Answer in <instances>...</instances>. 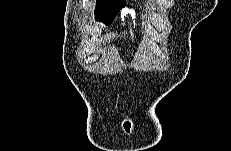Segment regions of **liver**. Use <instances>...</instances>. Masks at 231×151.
<instances>
[{"instance_id": "liver-1", "label": "liver", "mask_w": 231, "mask_h": 151, "mask_svg": "<svg viewBox=\"0 0 231 151\" xmlns=\"http://www.w3.org/2000/svg\"><path fill=\"white\" fill-rule=\"evenodd\" d=\"M111 38V36H108V39H110Z\"/></svg>"}]
</instances>
